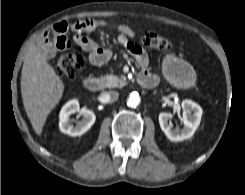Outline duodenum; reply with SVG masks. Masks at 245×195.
Listing matches in <instances>:
<instances>
[{"mask_svg":"<svg viewBox=\"0 0 245 195\" xmlns=\"http://www.w3.org/2000/svg\"><path fill=\"white\" fill-rule=\"evenodd\" d=\"M139 86L145 89H152L157 86L158 79L146 72H141L137 77ZM85 87L92 92L99 91L102 88V81L94 76H89L84 80Z\"/></svg>","mask_w":245,"mask_h":195,"instance_id":"obj_1","label":"duodenum"}]
</instances>
